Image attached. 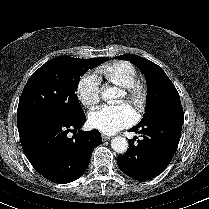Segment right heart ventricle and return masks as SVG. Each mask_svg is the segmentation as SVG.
Segmentation results:
<instances>
[{
	"mask_svg": "<svg viewBox=\"0 0 209 209\" xmlns=\"http://www.w3.org/2000/svg\"><path fill=\"white\" fill-rule=\"evenodd\" d=\"M99 74L121 87L128 85L137 78L135 66L128 61H115L99 69Z\"/></svg>",
	"mask_w": 209,
	"mask_h": 209,
	"instance_id": "obj_1",
	"label": "right heart ventricle"
}]
</instances>
